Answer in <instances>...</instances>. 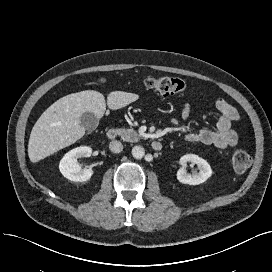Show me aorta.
<instances>
[{
  "mask_svg": "<svg viewBox=\"0 0 272 272\" xmlns=\"http://www.w3.org/2000/svg\"><path fill=\"white\" fill-rule=\"evenodd\" d=\"M145 155V150L143 147L141 146H134L132 148V156L135 158V159H142Z\"/></svg>",
  "mask_w": 272,
  "mask_h": 272,
  "instance_id": "762f6f07",
  "label": "aorta"
}]
</instances>
